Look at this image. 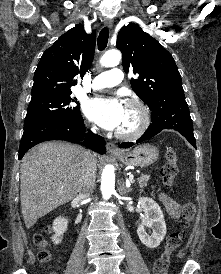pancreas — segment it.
<instances>
[{
    "instance_id": "cf45deb5",
    "label": "pancreas",
    "mask_w": 221,
    "mask_h": 274,
    "mask_svg": "<svg viewBox=\"0 0 221 274\" xmlns=\"http://www.w3.org/2000/svg\"><path fill=\"white\" fill-rule=\"evenodd\" d=\"M150 180V175H141L138 179H137V183L139 184V186L141 188L146 187L147 186V182Z\"/></svg>"
}]
</instances>
